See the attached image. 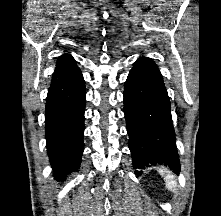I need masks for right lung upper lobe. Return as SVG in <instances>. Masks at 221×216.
<instances>
[{
  "label": "right lung upper lobe",
  "mask_w": 221,
  "mask_h": 216,
  "mask_svg": "<svg viewBox=\"0 0 221 216\" xmlns=\"http://www.w3.org/2000/svg\"><path fill=\"white\" fill-rule=\"evenodd\" d=\"M79 70L78 66L76 65V61L70 54H63L59 57L55 71L52 75L53 80L65 76L67 74L73 73Z\"/></svg>",
  "instance_id": "right-lung-upper-lobe-1"
}]
</instances>
